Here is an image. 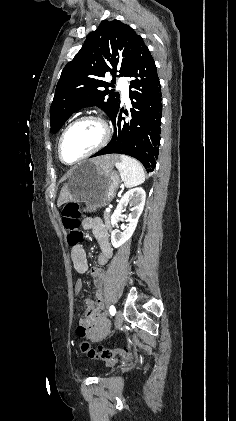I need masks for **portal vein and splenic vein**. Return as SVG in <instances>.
<instances>
[{
	"label": "portal vein and splenic vein",
	"instance_id": "portal-vein-and-splenic-vein-1",
	"mask_svg": "<svg viewBox=\"0 0 236 421\" xmlns=\"http://www.w3.org/2000/svg\"><path fill=\"white\" fill-rule=\"evenodd\" d=\"M111 208H106V213H110Z\"/></svg>",
	"mask_w": 236,
	"mask_h": 421
}]
</instances>
